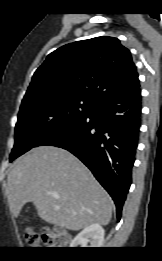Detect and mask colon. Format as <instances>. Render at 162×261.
Masks as SVG:
<instances>
[{
	"label": "colon",
	"instance_id": "5ec220e1",
	"mask_svg": "<svg viewBox=\"0 0 162 261\" xmlns=\"http://www.w3.org/2000/svg\"><path fill=\"white\" fill-rule=\"evenodd\" d=\"M25 238L32 247L38 246L40 242L52 249H62L67 245L66 238L56 229H49L42 234L28 230Z\"/></svg>",
	"mask_w": 162,
	"mask_h": 261
}]
</instances>
